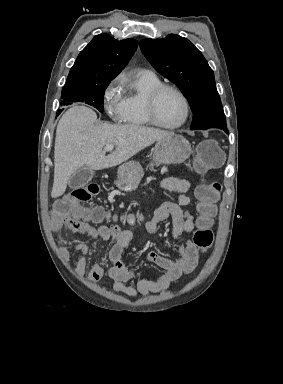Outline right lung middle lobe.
I'll use <instances>...</instances> for the list:
<instances>
[{
    "instance_id": "right-lung-middle-lobe-1",
    "label": "right lung middle lobe",
    "mask_w": 283,
    "mask_h": 384,
    "mask_svg": "<svg viewBox=\"0 0 283 384\" xmlns=\"http://www.w3.org/2000/svg\"><path fill=\"white\" fill-rule=\"evenodd\" d=\"M109 83L94 84L80 87L63 88L61 98L62 105H70L73 102H85L103 112V99L105 89Z\"/></svg>"
}]
</instances>
